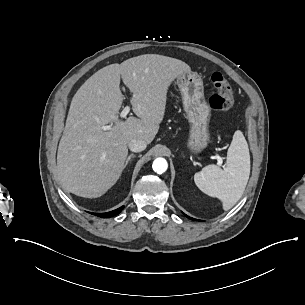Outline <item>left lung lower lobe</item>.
<instances>
[{"mask_svg":"<svg viewBox=\"0 0 305 305\" xmlns=\"http://www.w3.org/2000/svg\"><path fill=\"white\" fill-rule=\"evenodd\" d=\"M185 215V214H184ZM187 218H189V219H191V220H196V219H193V218H191V217H189V216H187V215H185Z\"/></svg>","mask_w":305,"mask_h":305,"instance_id":"1","label":"left lung lower lobe"}]
</instances>
